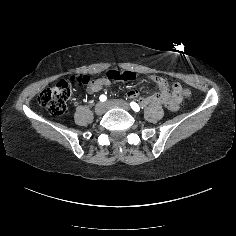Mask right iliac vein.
<instances>
[{
  "label": "right iliac vein",
  "instance_id": "right-iliac-vein-1",
  "mask_svg": "<svg viewBox=\"0 0 236 236\" xmlns=\"http://www.w3.org/2000/svg\"><path fill=\"white\" fill-rule=\"evenodd\" d=\"M107 109L108 108L104 103L98 102L94 107V112L96 115L101 116L106 112Z\"/></svg>",
  "mask_w": 236,
  "mask_h": 236
}]
</instances>
